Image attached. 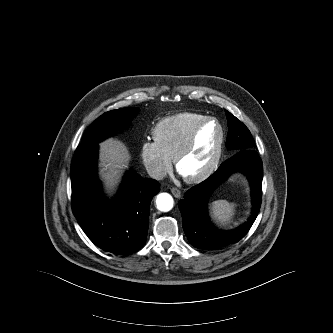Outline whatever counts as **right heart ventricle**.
<instances>
[{"label":"right heart ventricle","mask_w":333,"mask_h":333,"mask_svg":"<svg viewBox=\"0 0 333 333\" xmlns=\"http://www.w3.org/2000/svg\"><path fill=\"white\" fill-rule=\"evenodd\" d=\"M205 118L206 115L193 112L165 117L152 130L154 143L168 158L174 159L193 128Z\"/></svg>","instance_id":"1"}]
</instances>
